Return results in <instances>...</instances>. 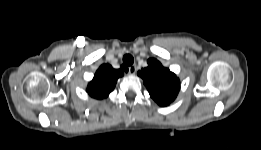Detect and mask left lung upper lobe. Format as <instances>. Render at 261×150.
Returning <instances> with one entry per match:
<instances>
[{"mask_svg":"<svg viewBox=\"0 0 261 150\" xmlns=\"http://www.w3.org/2000/svg\"><path fill=\"white\" fill-rule=\"evenodd\" d=\"M148 67L140 70L138 75L143 79L150 96L160 106L173 102L180 90L179 78L156 59H148Z\"/></svg>","mask_w":261,"mask_h":150,"instance_id":"5c2ea615","label":"left lung upper lobe"}]
</instances>
